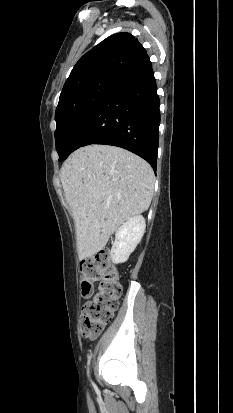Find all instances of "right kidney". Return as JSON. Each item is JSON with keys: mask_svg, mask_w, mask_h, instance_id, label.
I'll list each match as a JSON object with an SVG mask.
<instances>
[{"mask_svg": "<svg viewBox=\"0 0 233 413\" xmlns=\"http://www.w3.org/2000/svg\"><path fill=\"white\" fill-rule=\"evenodd\" d=\"M145 228L144 217L138 215L128 219L117 229L110 253L113 263H124L128 260L130 254L141 241Z\"/></svg>", "mask_w": 233, "mask_h": 413, "instance_id": "ca27d5eb", "label": "right kidney"}]
</instances>
